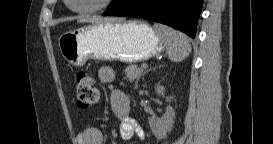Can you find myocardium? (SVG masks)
Returning <instances> with one entry per match:
<instances>
[{"label": "myocardium", "instance_id": "1", "mask_svg": "<svg viewBox=\"0 0 273 144\" xmlns=\"http://www.w3.org/2000/svg\"><path fill=\"white\" fill-rule=\"evenodd\" d=\"M67 1L71 2L72 0H67ZM113 2L114 0H100L96 5L91 7L77 9L71 6V9L78 14L97 13V12L108 9Z\"/></svg>", "mask_w": 273, "mask_h": 144}]
</instances>
